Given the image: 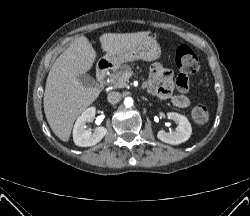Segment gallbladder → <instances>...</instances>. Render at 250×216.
<instances>
[{"mask_svg":"<svg viewBox=\"0 0 250 216\" xmlns=\"http://www.w3.org/2000/svg\"><path fill=\"white\" fill-rule=\"evenodd\" d=\"M79 81L85 85V86H94L95 85V80L87 75V74H83L79 77Z\"/></svg>","mask_w":250,"mask_h":216,"instance_id":"bac80fb5","label":"gallbladder"}]
</instances>
